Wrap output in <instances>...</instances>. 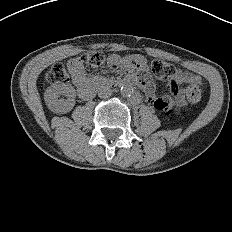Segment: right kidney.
<instances>
[{"mask_svg": "<svg viewBox=\"0 0 232 232\" xmlns=\"http://www.w3.org/2000/svg\"><path fill=\"white\" fill-rule=\"evenodd\" d=\"M61 95L67 99H58ZM76 92L73 86L66 84H55L48 87L44 93L45 103L53 113L66 114L75 105Z\"/></svg>", "mask_w": 232, "mask_h": 232, "instance_id": "obj_1", "label": "right kidney"}]
</instances>
